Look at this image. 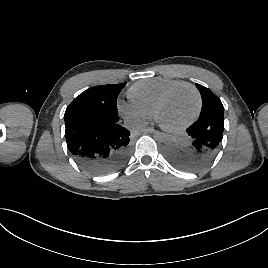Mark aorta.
Instances as JSON below:
<instances>
[{
    "instance_id": "1",
    "label": "aorta",
    "mask_w": 268,
    "mask_h": 268,
    "mask_svg": "<svg viewBox=\"0 0 268 268\" xmlns=\"http://www.w3.org/2000/svg\"><path fill=\"white\" fill-rule=\"evenodd\" d=\"M166 137H167L166 134L162 132H158L155 134V139L158 141H163L166 139Z\"/></svg>"
}]
</instances>
